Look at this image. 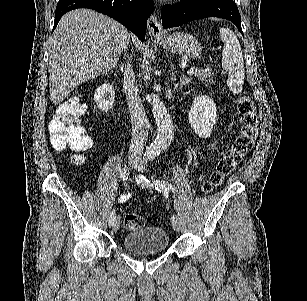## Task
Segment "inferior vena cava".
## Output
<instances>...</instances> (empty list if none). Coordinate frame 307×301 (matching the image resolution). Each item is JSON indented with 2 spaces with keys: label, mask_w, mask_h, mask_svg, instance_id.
Segmentation results:
<instances>
[{
  "label": "inferior vena cava",
  "mask_w": 307,
  "mask_h": 301,
  "mask_svg": "<svg viewBox=\"0 0 307 301\" xmlns=\"http://www.w3.org/2000/svg\"><path fill=\"white\" fill-rule=\"evenodd\" d=\"M134 82L135 72L133 66L130 62H127L124 70V86L126 88L132 124L131 142L128 151L129 157L142 155L148 136V118Z\"/></svg>",
  "instance_id": "inferior-vena-cava-1"
}]
</instances>
